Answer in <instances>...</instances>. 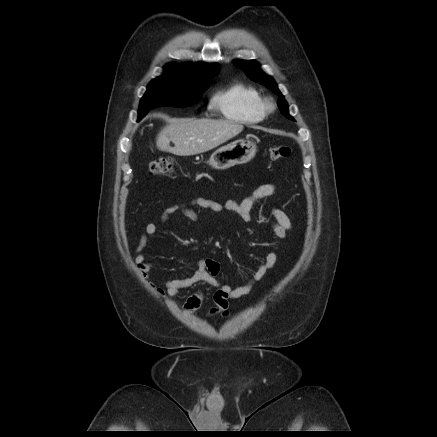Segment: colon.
<instances>
[{"instance_id": "obj_1", "label": "colon", "mask_w": 437, "mask_h": 437, "mask_svg": "<svg viewBox=\"0 0 437 437\" xmlns=\"http://www.w3.org/2000/svg\"><path fill=\"white\" fill-rule=\"evenodd\" d=\"M292 149L286 145L273 146L269 149V156L272 160H278L290 156ZM173 170V159L170 157H159L149 164V172L153 175L169 174Z\"/></svg>"}]
</instances>
